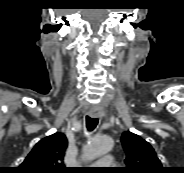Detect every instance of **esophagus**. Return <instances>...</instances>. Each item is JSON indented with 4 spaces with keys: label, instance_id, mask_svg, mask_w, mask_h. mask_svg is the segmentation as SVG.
<instances>
[{
    "label": "esophagus",
    "instance_id": "obj_1",
    "mask_svg": "<svg viewBox=\"0 0 184 173\" xmlns=\"http://www.w3.org/2000/svg\"><path fill=\"white\" fill-rule=\"evenodd\" d=\"M89 115H90L91 117H99V116L102 115V112H101V110H100L99 108L94 107V108H92V109L89 111Z\"/></svg>",
    "mask_w": 184,
    "mask_h": 173
}]
</instances>
